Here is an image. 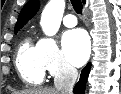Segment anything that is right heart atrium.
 Listing matches in <instances>:
<instances>
[{
	"label": "right heart atrium",
	"instance_id": "right-heart-atrium-1",
	"mask_svg": "<svg viewBox=\"0 0 121 94\" xmlns=\"http://www.w3.org/2000/svg\"><path fill=\"white\" fill-rule=\"evenodd\" d=\"M40 62L46 72L58 78L69 77L74 69L61 54L57 43L52 38H42L37 43Z\"/></svg>",
	"mask_w": 121,
	"mask_h": 94
}]
</instances>
